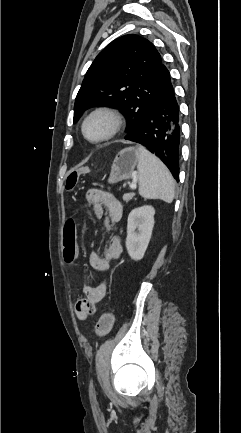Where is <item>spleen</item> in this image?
<instances>
[{
  "label": "spleen",
  "mask_w": 241,
  "mask_h": 433,
  "mask_svg": "<svg viewBox=\"0 0 241 433\" xmlns=\"http://www.w3.org/2000/svg\"><path fill=\"white\" fill-rule=\"evenodd\" d=\"M137 176L139 194L144 199H160L171 203L175 197V181L167 167L143 146L138 147Z\"/></svg>",
  "instance_id": "obj_1"
}]
</instances>
